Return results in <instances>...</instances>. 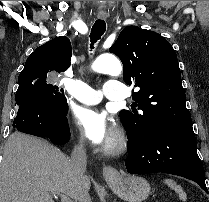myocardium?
Listing matches in <instances>:
<instances>
[{"label": "myocardium", "instance_id": "myocardium-1", "mask_svg": "<svg viewBox=\"0 0 209 202\" xmlns=\"http://www.w3.org/2000/svg\"><path fill=\"white\" fill-rule=\"evenodd\" d=\"M128 140L122 129H118L114 137L105 145L103 152L106 155H118L127 148Z\"/></svg>", "mask_w": 209, "mask_h": 202}]
</instances>
